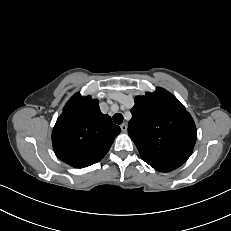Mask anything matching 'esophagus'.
Returning a JSON list of instances; mask_svg holds the SVG:
<instances>
[{
    "mask_svg": "<svg viewBox=\"0 0 231 231\" xmlns=\"http://www.w3.org/2000/svg\"><path fill=\"white\" fill-rule=\"evenodd\" d=\"M120 128H121V130H122L123 132H126L128 127H127V124H126V123H123V124L120 125Z\"/></svg>",
    "mask_w": 231,
    "mask_h": 231,
    "instance_id": "1",
    "label": "esophagus"
}]
</instances>
